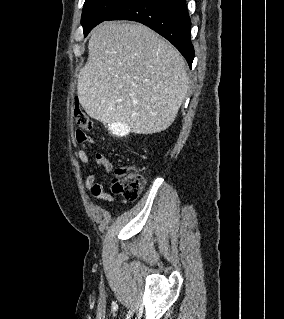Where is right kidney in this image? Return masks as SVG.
<instances>
[{
  "mask_svg": "<svg viewBox=\"0 0 284 319\" xmlns=\"http://www.w3.org/2000/svg\"><path fill=\"white\" fill-rule=\"evenodd\" d=\"M110 130L112 131L113 134L117 136H125L129 133V128L125 124H112L110 126Z\"/></svg>",
  "mask_w": 284,
  "mask_h": 319,
  "instance_id": "ca27d5eb",
  "label": "right kidney"
}]
</instances>
